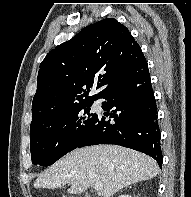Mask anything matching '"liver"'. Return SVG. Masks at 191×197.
I'll return each instance as SVG.
<instances>
[{
  "instance_id": "obj_1",
  "label": "liver",
  "mask_w": 191,
  "mask_h": 197,
  "mask_svg": "<svg viewBox=\"0 0 191 197\" xmlns=\"http://www.w3.org/2000/svg\"><path fill=\"white\" fill-rule=\"evenodd\" d=\"M159 173L150 156L117 145L78 148L42 172L35 188H61L70 184V194H81L90 186L102 183V197H111L120 189L150 180Z\"/></svg>"
}]
</instances>
